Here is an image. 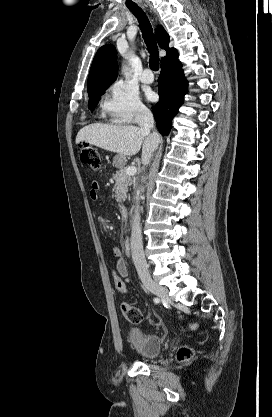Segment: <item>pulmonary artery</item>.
I'll return each instance as SVG.
<instances>
[{
    "mask_svg": "<svg viewBox=\"0 0 272 417\" xmlns=\"http://www.w3.org/2000/svg\"><path fill=\"white\" fill-rule=\"evenodd\" d=\"M140 80L143 83H152L154 80V76L150 69H145L142 74L140 75Z\"/></svg>",
    "mask_w": 272,
    "mask_h": 417,
    "instance_id": "obj_1",
    "label": "pulmonary artery"
}]
</instances>
